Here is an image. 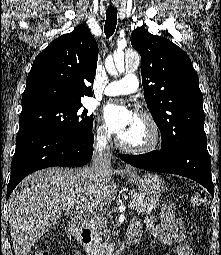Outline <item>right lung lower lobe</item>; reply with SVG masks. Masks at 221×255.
I'll return each instance as SVG.
<instances>
[{"label": "right lung lower lobe", "mask_w": 221, "mask_h": 255, "mask_svg": "<svg viewBox=\"0 0 221 255\" xmlns=\"http://www.w3.org/2000/svg\"><path fill=\"white\" fill-rule=\"evenodd\" d=\"M94 136L70 137L53 131L20 127L16 138L15 154L7 198L17 184L28 174L52 166L79 167L93 155Z\"/></svg>", "instance_id": "98d812e1"}]
</instances>
